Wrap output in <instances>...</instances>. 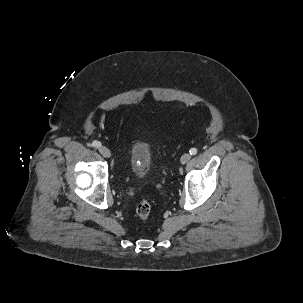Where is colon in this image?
I'll return each instance as SVG.
<instances>
[{
    "instance_id": "1",
    "label": "colon",
    "mask_w": 303,
    "mask_h": 303,
    "mask_svg": "<svg viewBox=\"0 0 303 303\" xmlns=\"http://www.w3.org/2000/svg\"><path fill=\"white\" fill-rule=\"evenodd\" d=\"M136 213L142 220H148L151 214V204L147 199H143L136 208Z\"/></svg>"
}]
</instances>
